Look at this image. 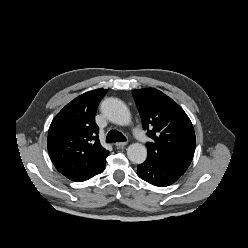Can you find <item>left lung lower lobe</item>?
<instances>
[{
  "mask_svg": "<svg viewBox=\"0 0 248 248\" xmlns=\"http://www.w3.org/2000/svg\"><path fill=\"white\" fill-rule=\"evenodd\" d=\"M185 171L186 169L168 165L149 157L137 167V174L141 179L159 187L173 184Z\"/></svg>",
  "mask_w": 248,
  "mask_h": 248,
  "instance_id": "1",
  "label": "left lung lower lobe"
}]
</instances>
